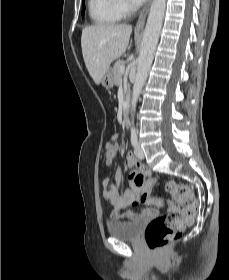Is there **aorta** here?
I'll use <instances>...</instances> for the list:
<instances>
[{
    "mask_svg": "<svg viewBox=\"0 0 229 280\" xmlns=\"http://www.w3.org/2000/svg\"><path fill=\"white\" fill-rule=\"evenodd\" d=\"M165 8L166 0H153L148 15L143 41L140 48V54L138 57L137 74L132 90V124L136 104L144 83L148 77V72L151 67L155 49L159 40L162 22L165 14ZM132 130H134V128H132Z\"/></svg>",
    "mask_w": 229,
    "mask_h": 280,
    "instance_id": "1",
    "label": "aorta"
}]
</instances>
